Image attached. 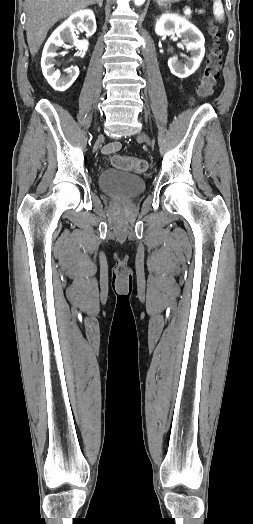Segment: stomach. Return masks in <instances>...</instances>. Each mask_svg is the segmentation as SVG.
Instances as JSON below:
<instances>
[{"label": "stomach", "mask_w": 253, "mask_h": 524, "mask_svg": "<svg viewBox=\"0 0 253 524\" xmlns=\"http://www.w3.org/2000/svg\"><path fill=\"white\" fill-rule=\"evenodd\" d=\"M155 1H157V3L160 5H168L170 3L178 2L180 0H155Z\"/></svg>", "instance_id": "obj_1"}]
</instances>
